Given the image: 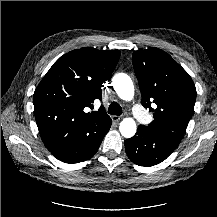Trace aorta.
Returning <instances> with one entry per match:
<instances>
[{
    "instance_id": "1",
    "label": "aorta",
    "mask_w": 217,
    "mask_h": 217,
    "mask_svg": "<svg viewBox=\"0 0 217 217\" xmlns=\"http://www.w3.org/2000/svg\"><path fill=\"white\" fill-rule=\"evenodd\" d=\"M113 88L122 99H129L133 96L134 87L130 76L126 73H118L113 77ZM136 124L132 119H124L119 127L124 138H131L136 133Z\"/></svg>"
}]
</instances>
